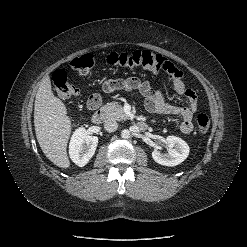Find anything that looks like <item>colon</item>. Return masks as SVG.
<instances>
[{"mask_svg":"<svg viewBox=\"0 0 247 247\" xmlns=\"http://www.w3.org/2000/svg\"><path fill=\"white\" fill-rule=\"evenodd\" d=\"M107 61L112 66L125 68H142L152 73L166 72L174 80L181 77V72L176 69L166 58L148 50H139L133 53H112ZM95 62L92 54H84L71 60L70 66L81 75H86ZM54 92L60 100H68L81 94L79 88L72 84L63 70L53 74ZM196 125L200 133H206L210 127V119L206 114H199Z\"/></svg>","mask_w":247,"mask_h":247,"instance_id":"obj_1","label":"colon"}]
</instances>
